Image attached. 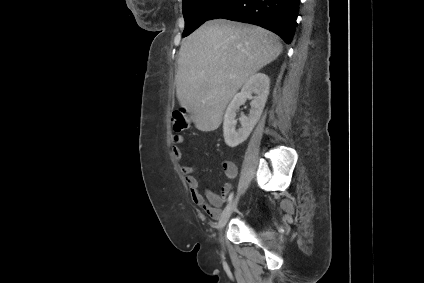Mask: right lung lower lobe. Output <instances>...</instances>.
Masks as SVG:
<instances>
[{"mask_svg":"<svg viewBox=\"0 0 424 283\" xmlns=\"http://www.w3.org/2000/svg\"><path fill=\"white\" fill-rule=\"evenodd\" d=\"M300 0H228L209 20L228 19L255 24L278 34L290 44Z\"/></svg>","mask_w":424,"mask_h":283,"instance_id":"98d812e1","label":"right lung lower lobe"}]
</instances>
